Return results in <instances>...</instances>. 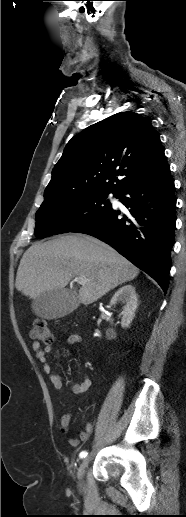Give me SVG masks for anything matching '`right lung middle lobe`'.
<instances>
[{
  "mask_svg": "<svg viewBox=\"0 0 186 517\" xmlns=\"http://www.w3.org/2000/svg\"><path fill=\"white\" fill-rule=\"evenodd\" d=\"M108 192L85 191L60 196L42 203L36 212L35 236L72 232L112 207L106 198Z\"/></svg>",
  "mask_w": 186,
  "mask_h": 517,
  "instance_id": "dd1d6c3e",
  "label": "right lung middle lobe"
}]
</instances>
